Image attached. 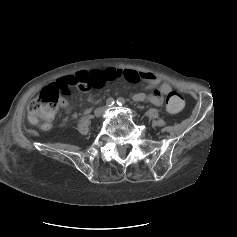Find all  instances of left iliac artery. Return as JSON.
Masks as SVG:
<instances>
[{
  "instance_id": "1",
  "label": "left iliac artery",
  "mask_w": 237,
  "mask_h": 237,
  "mask_svg": "<svg viewBox=\"0 0 237 237\" xmlns=\"http://www.w3.org/2000/svg\"><path fill=\"white\" fill-rule=\"evenodd\" d=\"M124 102H125V100H124L122 97H119V98L117 99V104H118L119 106H122V105L124 104Z\"/></svg>"
}]
</instances>
